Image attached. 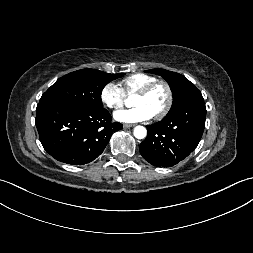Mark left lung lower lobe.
I'll use <instances>...</instances> for the list:
<instances>
[{
    "label": "left lung lower lobe",
    "mask_w": 253,
    "mask_h": 253,
    "mask_svg": "<svg viewBox=\"0 0 253 253\" xmlns=\"http://www.w3.org/2000/svg\"><path fill=\"white\" fill-rule=\"evenodd\" d=\"M206 119V107L199 90L161 121L147 126L141 155L152 165L170 167L185 159L198 145Z\"/></svg>",
    "instance_id": "1"
}]
</instances>
